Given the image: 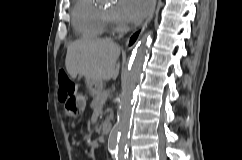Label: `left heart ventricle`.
<instances>
[{
    "mask_svg": "<svg viewBox=\"0 0 242 160\" xmlns=\"http://www.w3.org/2000/svg\"><path fill=\"white\" fill-rule=\"evenodd\" d=\"M103 11H106L107 13H109L111 16H113L115 18V16H114L115 8L113 6H108V7L104 8Z\"/></svg>",
    "mask_w": 242,
    "mask_h": 160,
    "instance_id": "obj_1",
    "label": "left heart ventricle"
}]
</instances>
